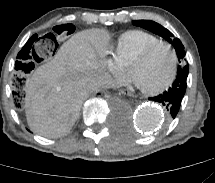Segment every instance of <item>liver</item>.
Segmentation results:
<instances>
[{
  "label": "liver",
  "instance_id": "liver-1",
  "mask_svg": "<svg viewBox=\"0 0 215 183\" xmlns=\"http://www.w3.org/2000/svg\"><path fill=\"white\" fill-rule=\"evenodd\" d=\"M108 43L105 30L78 32L35 70L25 88L26 118L34 133L55 138L71 130L91 93L87 84L104 74Z\"/></svg>",
  "mask_w": 215,
  "mask_h": 183
}]
</instances>
